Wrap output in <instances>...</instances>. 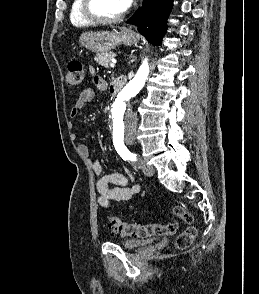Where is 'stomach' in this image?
<instances>
[{
  "instance_id": "0dacf381",
  "label": "stomach",
  "mask_w": 259,
  "mask_h": 294,
  "mask_svg": "<svg viewBox=\"0 0 259 294\" xmlns=\"http://www.w3.org/2000/svg\"><path fill=\"white\" fill-rule=\"evenodd\" d=\"M136 37L127 31L85 32L79 38V43L86 49L102 54L107 53L120 44L132 45Z\"/></svg>"
}]
</instances>
